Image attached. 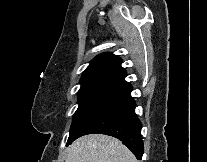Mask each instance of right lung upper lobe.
Here are the masks:
<instances>
[{
  "label": "right lung upper lobe",
  "instance_id": "cb5924a9",
  "mask_svg": "<svg viewBox=\"0 0 207 162\" xmlns=\"http://www.w3.org/2000/svg\"><path fill=\"white\" fill-rule=\"evenodd\" d=\"M121 59L111 53L97 56L90 62L80 79L81 88H118L126 83V72L121 67ZM80 88V89H81Z\"/></svg>",
  "mask_w": 207,
  "mask_h": 162
}]
</instances>
